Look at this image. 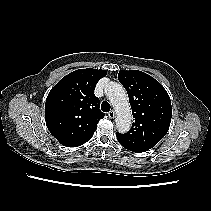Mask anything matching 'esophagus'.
Segmentation results:
<instances>
[{"label": "esophagus", "mask_w": 211, "mask_h": 211, "mask_svg": "<svg viewBox=\"0 0 211 211\" xmlns=\"http://www.w3.org/2000/svg\"><path fill=\"white\" fill-rule=\"evenodd\" d=\"M108 117L110 119H113L115 117V111L114 110H111L110 112H108Z\"/></svg>", "instance_id": "34e87169"}]
</instances>
